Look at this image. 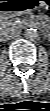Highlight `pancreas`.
Returning <instances> with one entry per match:
<instances>
[{"mask_svg":"<svg viewBox=\"0 0 50 111\" xmlns=\"http://www.w3.org/2000/svg\"><path fill=\"white\" fill-rule=\"evenodd\" d=\"M24 21L20 22V23H17L15 21V19H11V20H7V21H4L3 22V27L7 28V27H21V26H24Z\"/></svg>","mask_w":50,"mask_h":111,"instance_id":"pancreas-1","label":"pancreas"}]
</instances>
